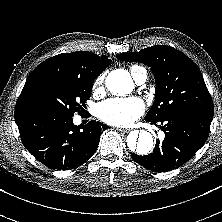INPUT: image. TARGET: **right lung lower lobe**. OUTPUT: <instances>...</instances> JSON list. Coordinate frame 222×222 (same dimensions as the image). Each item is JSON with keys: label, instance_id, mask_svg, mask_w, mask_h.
Instances as JSON below:
<instances>
[{"label": "right lung lower lobe", "instance_id": "right-lung-lower-lobe-1", "mask_svg": "<svg viewBox=\"0 0 222 222\" xmlns=\"http://www.w3.org/2000/svg\"><path fill=\"white\" fill-rule=\"evenodd\" d=\"M73 117L46 109L24 108L15 111L21 140L40 162L57 170L76 168L95 153L107 125L90 121L74 125Z\"/></svg>", "mask_w": 222, "mask_h": 222}]
</instances>
